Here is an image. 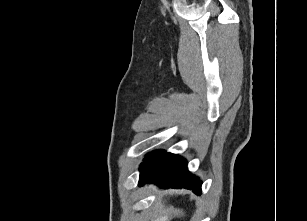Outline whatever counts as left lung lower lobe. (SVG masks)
<instances>
[{
	"label": "left lung lower lobe",
	"mask_w": 307,
	"mask_h": 221,
	"mask_svg": "<svg viewBox=\"0 0 307 221\" xmlns=\"http://www.w3.org/2000/svg\"><path fill=\"white\" fill-rule=\"evenodd\" d=\"M158 183L163 188H186L201 194V181L191 175L187 162L180 156L165 152L140 172L139 186Z\"/></svg>",
	"instance_id": "obj_1"
}]
</instances>
